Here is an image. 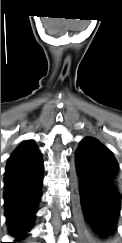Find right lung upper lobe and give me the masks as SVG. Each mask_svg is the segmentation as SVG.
<instances>
[{
  "instance_id": "1",
  "label": "right lung upper lobe",
  "mask_w": 122,
  "mask_h": 243,
  "mask_svg": "<svg viewBox=\"0 0 122 243\" xmlns=\"http://www.w3.org/2000/svg\"><path fill=\"white\" fill-rule=\"evenodd\" d=\"M42 165L41 153L30 141L22 143L8 160L5 180Z\"/></svg>"
}]
</instances>
